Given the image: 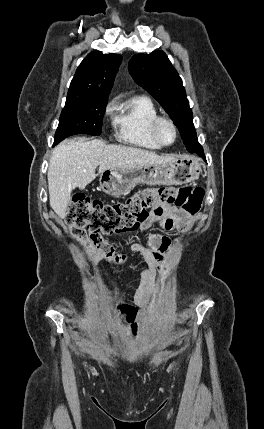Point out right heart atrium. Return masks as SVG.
<instances>
[{
    "instance_id": "1",
    "label": "right heart atrium",
    "mask_w": 264,
    "mask_h": 429,
    "mask_svg": "<svg viewBox=\"0 0 264 429\" xmlns=\"http://www.w3.org/2000/svg\"><path fill=\"white\" fill-rule=\"evenodd\" d=\"M116 107V101L114 99L110 100L105 106V114L108 116L112 115Z\"/></svg>"
}]
</instances>
